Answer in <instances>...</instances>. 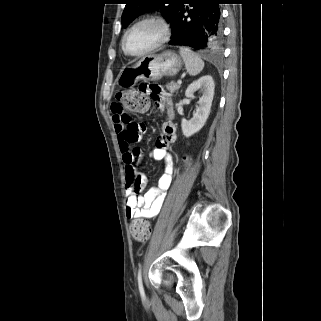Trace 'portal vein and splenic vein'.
<instances>
[{
	"instance_id": "18ae733b",
	"label": "portal vein and splenic vein",
	"mask_w": 321,
	"mask_h": 321,
	"mask_svg": "<svg viewBox=\"0 0 321 321\" xmlns=\"http://www.w3.org/2000/svg\"><path fill=\"white\" fill-rule=\"evenodd\" d=\"M177 83H178V84H181V83H182V81H181V80H178V81H177Z\"/></svg>"
}]
</instances>
